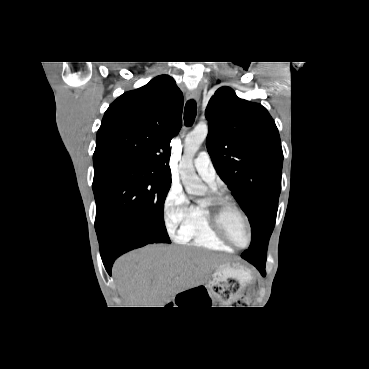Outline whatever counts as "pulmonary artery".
<instances>
[{
	"label": "pulmonary artery",
	"instance_id": "pulmonary-artery-1",
	"mask_svg": "<svg viewBox=\"0 0 369 369\" xmlns=\"http://www.w3.org/2000/svg\"><path fill=\"white\" fill-rule=\"evenodd\" d=\"M193 163L199 176L211 187L215 188L216 172L209 154L206 151L200 152Z\"/></svg>",
	"mask_w": 369,
	"mask_h": 369
}]
</instances>
